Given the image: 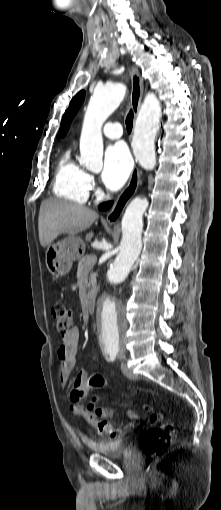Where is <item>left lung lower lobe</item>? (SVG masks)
<instances>
[{
	"instance_id": "1",
	"label": "left lung lower lobe",
	"mask_w": 221,
	"mask_h": 510,
	"mask_svg": "<svg viewBox=\"0 0 221 510\" xmlns=\"http://www.w3.org/2000/svg\"><path fill=\"white\" fill-rule=\"evenodd\" d=\"M112 205L111 202H108V203H104L102 205L99 206V209L100 210H107L110 206Z\"/></svg>"
}]
</instances>
